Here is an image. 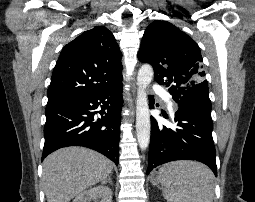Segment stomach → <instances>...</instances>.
<instances>
[{
    "label": "stomach",
    "instance_id": "stomach-1",
    "mask_svg": "<svg viewBox=\"0 0 255 202\" xmlns=\"http://www.w3.org/2000/svg\"><path fill=\"white\" fill-rule=\"evenodd\" d=\"M151 183H152L154 186L158 187V188H163V183H162V181H161V179H160L158 173L153 174V175L151 176Z\"/></svg>",
    "mask_w": 255,
    "mask_h": 202
}]
</instances>
